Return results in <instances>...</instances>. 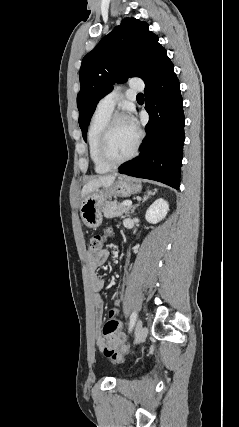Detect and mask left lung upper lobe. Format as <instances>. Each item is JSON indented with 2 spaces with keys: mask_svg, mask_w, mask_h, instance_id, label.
<instances>
[{
  "mask_svg": "<svg viewBox=\"0 0 239 427\" xmlns=\"http://www.w3.org/2000/svg\"><path fill=\"white\" fill-rule=\"evenodd\" d=\"M148 28L146 22L125 18L83 58L77 106L84 140L98 101L115 83L128 77H140L146 83L170 61L158 37Z\"/></svg>",
  "mask_w": 239,
  "mask_h": 427,
  "instance_id": "5c2ea615",
  "label": "left lung upper lobe"
}]
</instances>
